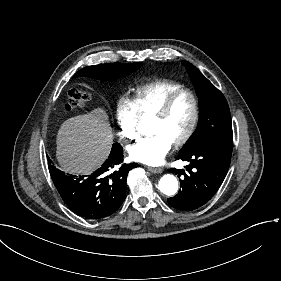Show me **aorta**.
Here are the masks:
<instances>
[{"mask_svg":"<svg viewBox=\"0 0 281 281\" xmlns=\"http://www.w3.org/2000/svg\"><path fill=\"white\" fill-rule=\"evenodd\" d=\"M158 188L163 194L172 196L178 190V181L174 175L166 174L159 180Z\"/></svg>","mask_w":281,"mask_h":281,"instance_id":"aorta-1","label":"aorta"}]
</instances>
